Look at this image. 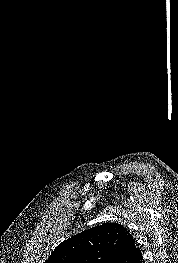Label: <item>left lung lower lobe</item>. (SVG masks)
Returning a JSON list of instances; mask_svg holds the SVG:
<instances>
[{
  "label": "left lung lower lobe",
  "instance_id": "1",
  "mask_svg": "<svg viewBox=\"0 0 178 263\" xmlns=\"http://www.w3.org/2000/svg\"><path fill=\"white\" fill-rule=\"evenodd\" d=\"M109 263H145L140 250L136 247L133 237H128L118 254Z\"/></svg>",
  "mask_w": 178,
  "mask_h": 263
}]
</instances>
